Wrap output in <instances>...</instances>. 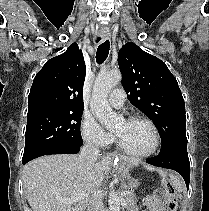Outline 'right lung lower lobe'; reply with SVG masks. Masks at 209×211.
I'll return each instance as SVG.
<instances>
[{"label":"right lung lower lobe","instance_id":"obj_1","mask_svg":"<svg viewBox=\"0 0 209 211\" xmlns=\"http://www.w3.org/2000/svg\"><path fill=\"white\" fill-rule=\"evenodd\" d=\"M81 145H58L41 150L26 160H22L25 164L32 159L49 154H76L79 152Z\"/></svg>","mask_w":209,"mask_h":211}]
</instances>
